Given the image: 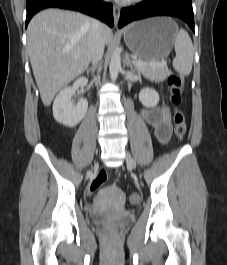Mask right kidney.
Instances as JSON below:
<instances>
[{"label":"right kidney","mask_w":227,"mask_h":265,"mask_svg":"<svg viewBox=\"0 0 227 265\" xmlns=\"http://www.w3.org/2000/svg\"><path fill=\"white\" fill-rule=\"evenodd\" d=\"M87 84L88 79L80 77L72 86L62 89L56 96L53 103V116L58 123L67 127H74L83 119L88 108L87 100L81 99L74 106L71 98L77 88L87 86Z\"/></svg>","instance_id":"obj_1"}]
</instances>
